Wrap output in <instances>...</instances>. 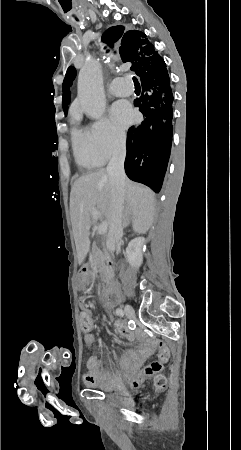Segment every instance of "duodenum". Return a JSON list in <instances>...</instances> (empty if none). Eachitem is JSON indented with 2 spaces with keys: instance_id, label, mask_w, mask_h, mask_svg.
<instances>
[{
  "instance_id": "410a0bca",
  "label": "duodenum",
  "mask_w": 241,
  "mask_h": 450,
  "mask_svg": "<svg viewBox=\"0 0 241 450\" xmlns=\"http://www.w3.org/2000/svg\"><path fill=\"white\" fill-rule=\"evenodd\" d=\"M108 268L112 269L114 264L111 260L107 262ZM89 276V270L87 268H83L80 272V279L83 283H85ZM104 297L108 302H116L118 299V289L117 284L114 280H109L104 288Z\"/></svg>"
}]
</instances>
